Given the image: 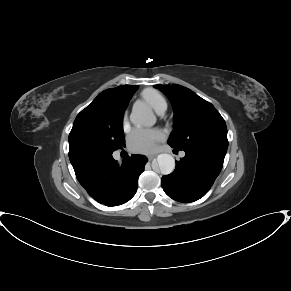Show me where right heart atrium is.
I'll list each match as a JSON object with an SVG mask.
<instances>
[{
	"mask_svg": "<svg viewBox=\"0 0 291 291\" xmlns=\"http://www.w3.org/2000/svg\"><path fill=\"white\" fill-rule=\"evenodd\" d=\"M122 125H123V128L125 130L128 128V116H127V114H125L122 118Z\"/></svg>",
	"mask_w": 291,
	"mask_h": 291,
	"instance_id": "obj_1",
	"label": "right heart atrium"
}]
</instances>
